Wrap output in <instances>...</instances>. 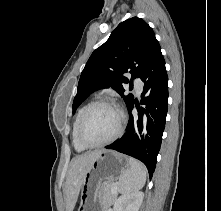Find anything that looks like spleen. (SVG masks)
Wrapping results in <instances>:
<instances>
[{
	"mask_svg": "<svg viewBox=\"0 0 221 211\" xmlns=\"http://www.w3.org/2000/svg\"><path fill=\"white\" fill-rule=\"evenodd\" d=\"M130 168L119 179V192L129 194L139 191L146 182L147 170L145 166L135 160L129 158Z\"/></svg>",
	"mask_w": 221,
	"mask_h": 211,
	"instance_id": "obj_1",
	"label": "spleen"
}]
</instances>
